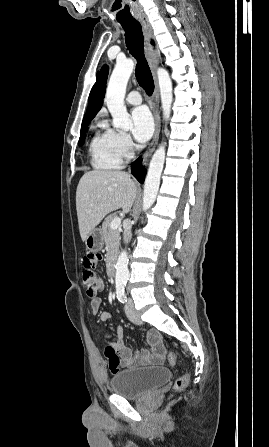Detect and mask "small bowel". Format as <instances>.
<instances>
[{
	"mask_svg": "<svg viewBox=\"0 0 269 447\" xmlns=\"http://www.w3.org/2000/svg\"><path fill=\"white\" fill-rule=\"evenodd\" d=\"M101 305V298L95 297L91 301V312L97 313ZM112 318L110 312H102L99 315L101 321H107ZM117 339L114 342V348L122 357V365L126 368H132L138 365L157 364L164 359V353L160 346V338L164 339L166 334L164 332H146L145 338L148 339V344L152 350L151 354L146 352L135 353L128 348L124 343V328L119 326L116 329Z\"/></svg>",
	"mask_w": 269,
	"mask_h": 447,
	"instance_id": "small-bowel-1",
	"label": "small bowel"
}]
</instances>
